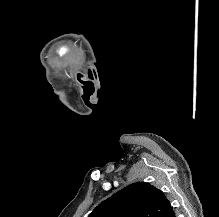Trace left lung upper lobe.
Masks as SVG:
<instances>
[{
	"label": "left lung upper lobe",
	"mask_w": 219,
	"mask_h": 217,
	"mask_svg": "<svg viewBox=\"0 0 219 217\" xmlns=\"http://www.w3.org/2000/svg\"><path fill=\"white\" fill-rule=\"evenodd\" d=\"M88 217H175V213L161 190L136 182L103 201Z\"/></svg>",
	"instance_id": "left-lung-upper-lobe-1"
}]
</instances>
